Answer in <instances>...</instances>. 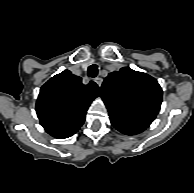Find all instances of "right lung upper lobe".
<instances>
[{"label":"right lung upper lobe","instance_id":"obj_1","mask_svg":"<svg viewBox=\"0 0 194 193\" xmlns=\"http://www.w3.org/2000/svg\"><path fill=\"white\" fill-rule=\"evenodd\" d=\"M99 95L96 83L83 85L80 77L64 70L40 89L36 103L40 124L55 138L70 137L82 126L90 103Z\"/></svg>","mask_w":194,"mask_h":193}]
</instances>
